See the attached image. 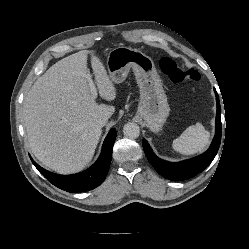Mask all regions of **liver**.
I'll use <instances>...</instances> for the list:
<instances>
[{"label": "liver", "mask_w": 249, "mask_h": 249, "mask_svg": "<svg viewBox=\"0 0 249 249\" xmlns=\"http://www.w3.org/2000/svg\"><path fill=\"white\" fill-rule=\"evenodd\" d=\"M88 54L99 95L112 101L116 89L95 51L82 50L61 59L40 76L23 104L28 144L34 156L60 174L83 170L93 158L102 134L97 119L110 118L115 107L92 98Z\"/></svg>", "instance_id": "obj_1"}]
</instances>
